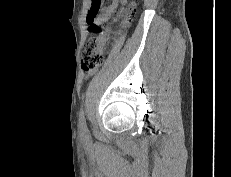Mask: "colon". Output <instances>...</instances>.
Instances as JSON below:
<instances>
[{
	"label": "colon",
	"instance_id": "obj_1",
	"mask_svg": "<svg viewBox=\"0 0 231 177\" xmlns=\"http://www.w3.org/2000/svg\"><path fill=\"white\" fill-rule=\"evenodd\" d=\"M124 4L131 9L134 5L132 0H121ZM97 13V9H94L90 15V30L92 35L87 39L82 50V68L84 72L89 73L98 68L104 60V48H105V30L99 25L94 24V19ZM130 21L129 16L126 17L125 22Z\"/></svg>",
	"mask_w": 231,
	"mask_h": 177
}]
</instances>
